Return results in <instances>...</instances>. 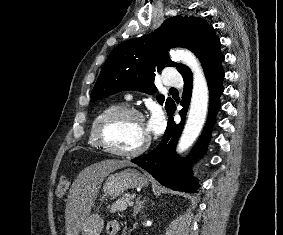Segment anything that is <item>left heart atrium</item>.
Wrapping results in <instances>:
<instances>
[{
    "label": "left heart atrium",
    "mask_w": 283,
    "mask_h": 235,
    "mask_svg": "<svg viewBox=\"0 0 283 235\" xmlns=\"http://www.w3.org/2000/svg\"><path fill=\"white\" fill-rule=\"evenodd\" d=\"M164 128V121L158 115L152 116L145 124L147 134H159Z\"/></svg>",
    "instance_id": "obj_1"
}]
</instances>
